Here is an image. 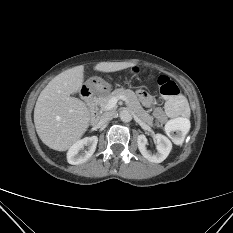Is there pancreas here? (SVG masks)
I'll return each instance as SVG.
<instances>
[{"label":"pancreas","instance_id":"obj_1","mask_svg":"<svg viewBox=\"0 0 233 233\" xmlns=\"http://www.w3.org/2000/svg\"><path fill=\"white\" fill-rule=\"evenodd\" d=\"M125 96L127 98L128 107L145 123L153 125V117L145 111L139 103L136 94L130 89H115L110 94L97 98V104L100 106L102 111H105V106L112 97ZM157 126H159L156 123Z\"/></svg>","mask_w":233,"mask_h":233}]
</instances>
